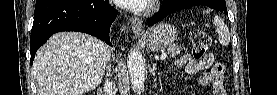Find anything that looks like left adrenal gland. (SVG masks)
<instances>
[{"label":"left adrenal gland","instance_id":"a2214340","mask_svg":"<svg viewBox=\"0 0 277 95\" xmlns=\"http://www.w3.org/2000/svg\"><path fill=\"white\" fill-rule=\"evenodd\" d=\"M155 66H156V64L154 63V64H153V68H154Z\"/></svg>","mask_w":277,"mask_h":95}]
</instances>
